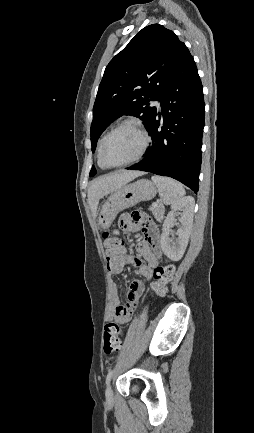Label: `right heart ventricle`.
<instances>
[{
    "label": "right heart ventricle",
    "instance_id": "obj_1",
    "mask_svg": "<svg viewBox=\"0 0 254 433\" xmlns=\"http://www.w3.org/2000/svg\"><path fill=\"white\" fill-rule=\"evenodd\" d=\"M104 138V137H103ZM103 138L100 140V142H99V145H98V152H99V148H100V145H101V142H102V140H103ZM98 164H99V166L102 168V169H106V167L99 161V158H98Z\"/></svg>",
    "mask_w": 254,
    "mask_h": 433
}]
</instances>
